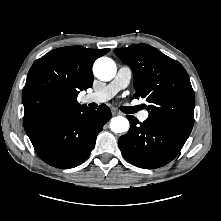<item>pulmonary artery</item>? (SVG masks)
Returning <instances> with one entry per match:
<instances>
[{"mask_svg": "<svg viewBox=\"0 0 221 221\" xmlns=\"http://www.w3.org/2000/svg\"><path fill=\"white\" fill-rule=\"evenodd\" d=\"M132 71L127 66H121L115 78L105 87L102 89L92 92L90 94H87L84 97V102L86 103H102L105 101L110 100L112 97H114L120 90L126 88L131 80ZM149 116V113L147 111H144L139 114V119L141 121L147 120Z\"/></svg>", "mask_w": 221, "mask_h": 221, "instance_id": "pulmonary-artery-1", "label": "pulmonary artery"}]
</instances>
